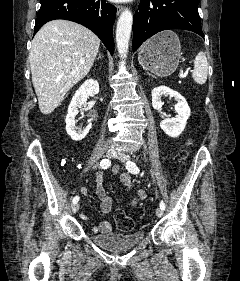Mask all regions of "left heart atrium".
<instances>
[{"label":"left heart atrium","mask_w":240,"mask_h":281,"mask_svg":"<svg viewBox=\"0 0 240 281\" xmlns=\"http://www.w3.org/2000/svg\"><path fill=\"white\" fill-rule=\"evenodd\" d=\"M111 1L122 2V1H129V0H111Z\"/></svg>","instance_id":"39dd6f15"}]
</instances>
